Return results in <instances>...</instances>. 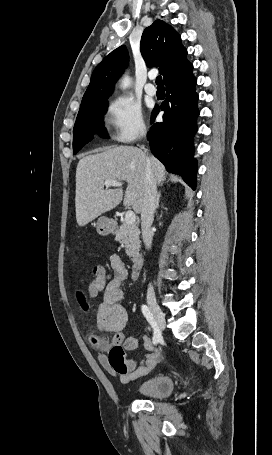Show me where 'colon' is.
Segmentation results:
<instances>
[{"instance_id": "obj_1", "label": "colon", "mask_w": 272, "mask_h": 455, "mask_svg": "<svg viewBox=\"0 0 272 455\" xmlns=\"http://www.w3.org/2000/svg\"><path fill=\"white\" fill-rule=\"evenodd\" d=\"M110 278V274L102 265H95L92 268V279L89 283L87 291L83 292L88 296H95L105 289V286ZM98 343L97 339H94ZM109 363L117 371L123 372L126 370L127 363L125 360V349L120 344H114L109 351Z\"/></svg>"}]
</instances>
